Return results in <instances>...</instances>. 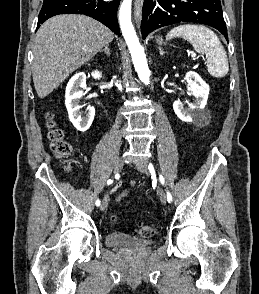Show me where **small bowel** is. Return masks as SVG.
<instances>
[{
	"instance_id": "obj_1",
	"label": "small bowel",
	"mask_w": 259,
	"mask_h": 294,
	"mask_svg": "<svg viewBox=\"0 0 259 294\" xmlns=\"http://www.w3.org/2000/svg\"><path fill=\"white\" fill-rule=\"evenodd\" d=\"M127 195H128V192H122L121 194H119V195L116 197L115 201H116V202H120V201H121L123 198H125Z\"/></svg>"
}]
</instances>
